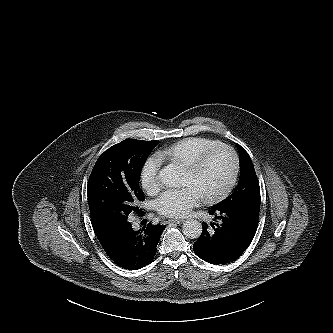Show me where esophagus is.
<instances>
[{
  "instance_id": "34e87169",
  "label": "esophagus",
  "mask_w": 333,
  "mask_h": 333,
  "mask_svg": "<svg viewBox=\"0 0 333 333\" xmlns=\"http://www.w3.org/2000/svg\"><path fill=\"white\" fill-rule=\"evenodd\" d=\"M184 222V219H169L168 220V223H177V224H180Z\"/></svg>"
}]
</instances>
